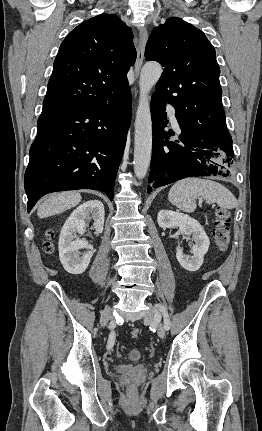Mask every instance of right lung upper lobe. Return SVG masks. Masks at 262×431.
I'll return each instance as SVG.
<instances>
[{
  "instance_id": "cb5924a9",
  "label": "right lung upper lobe",
  "mask_w": 262,
  "mask_h": 431,
  "mask_svg": "<svg viewBox=\"0 0 262 431\" xmlns=\"http://www.w3.org/2000/svg\"><path fill=\"white\" fill-rule=\"evenodd\" d=\"M135 60L132 31L120 18L101 14L81 23L60 46L43 110L114 103L130 89Z\"/></svg>"
}]
</instances>
